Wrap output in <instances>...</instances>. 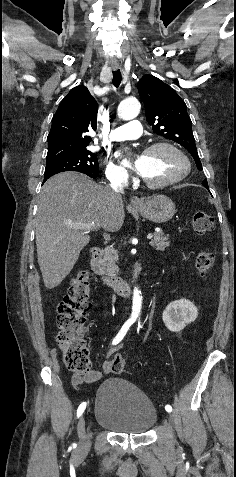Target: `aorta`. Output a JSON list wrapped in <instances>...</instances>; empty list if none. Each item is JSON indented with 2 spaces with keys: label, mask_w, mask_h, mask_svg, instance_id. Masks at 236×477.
I'll return each mask as SVG.
<instances>
[{
  "label": "aorta",
  "mask_w": 236,
  "mask_h": 477,
  "mask_svg": "<svg viewBox=\"0 0 236 477\" xmlns=\"http://www.w3.org/2000/svg\"><path fill=\"white\" fill-rule=\"evenodd\" d=\"M140 103L137 99L129 98L123 100L117 109V114L121 119L131 120L134 119L140 112ZM142 305V295L141 291L135 287L133 290V301H132V313L131 317L136 319L140 313Z\"/></svg>",
  "instance_id": "762f6f07"
}]
</instances>
